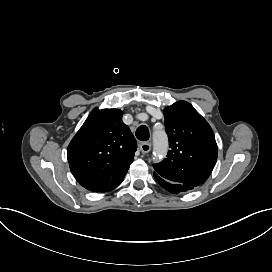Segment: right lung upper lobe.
I'll use <instances>...</instances> for the list:
<instances>
[{
	"label": "right lung upper lobe",
	"instance_id": "right-lung-upper-lobe-1",
	"mask_svg": "<svg viewBox=\"0 0 272 272\" xmlns=\"http://www.w3.org/2000/svg\"><path fill=\"white\" fill-rule=\"evenodd\" d=\"M122 114L119 109H93L68 146L71 172L90 191L116 188L133 162L137 143Z\"/></svg>",
	"mask_w": 272,
	"mask_h": 272
}]
</instances>
